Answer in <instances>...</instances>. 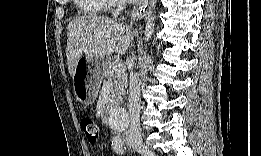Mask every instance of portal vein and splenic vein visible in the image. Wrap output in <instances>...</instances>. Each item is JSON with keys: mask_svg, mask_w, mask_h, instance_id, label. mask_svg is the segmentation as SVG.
Wrapping results in <instances>:
<instances>
[{"mask_svg": "<svg viewBox=\"0 0 261 156\" xmlns=\"http://www.w3.org/2000/svg\"><path fill=\"white\" fill-rule=\"evenodd\" d=\"M125 69H126V66H125L123 63H120V62H118V63L115 64V66H114V70H115L117 73L124 72Z\"/></svg>", "mask_w": 261, "mask_h": 156, "instance_id": "18ae733b", "label": "portal vein and splenic vein"}]
</instances>
